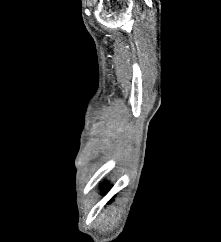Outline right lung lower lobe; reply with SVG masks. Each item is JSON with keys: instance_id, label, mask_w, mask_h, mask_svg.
I'll use <instances>...</instances> for the list:
<instances>
[{"instance_id": "right-lung-lower-lobe-1", "label": "right lung lower lobe", "mask_w": 221, "mask_h": 242, "mask_svg": "<svg viewBox=\"0 0 221 242\" xmlns=\"http://www.w3.org/2000/svg\"><path fill=\"white\" fill-rule=\"evenodd\" d=\"M108 189H109V187H105V188H104L105 192H106Z\"/></svg>"}]
</instances>
